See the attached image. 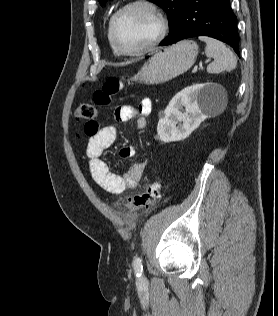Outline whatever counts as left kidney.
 Instances as JSON below:
<instances>
[{"instance_id": "obj_1", "label": "left kidney", "mask_w": 278, "mask_h": 316, "mask_svg": "<svg viewBox=\"0 0 278 316\" xmlns=\"http://www.w3.org/2000/svg\"><path fill=\"white\" fill-rule=\"evenodd\" d=\"M224 95V88L211 82L181 90L172 98L158 122L159 139L169 143L187 138L208 118L209 112L221 102ZM183 107L185 112L182 113Z\"/></svg>"}]
</instances>
